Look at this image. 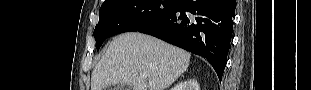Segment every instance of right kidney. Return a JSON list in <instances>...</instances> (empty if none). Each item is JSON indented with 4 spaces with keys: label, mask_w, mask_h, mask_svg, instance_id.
I'll return each mask as SVG.
<instances>
[{
    "label": "right kidney",
    "mask_w": 311,
    "mask_h": 90,
    "mask_svg": "<svg viewBox=\"0 0 311 90\" xmlns=\"http://www.w3.org/2000/svg\"><path fill=\"white\" fill-rule=\"evenodd\" d=\"M174 90H200V87L195 80H188L178 84Z\"/></svg>",
    "instance_id": "ca27d5eb"
}]
</instances>
